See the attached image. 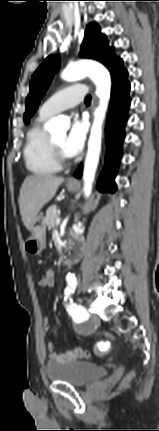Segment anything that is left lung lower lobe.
<instances>
[{
  "mask_svg": "<svg viewBox=\"0 0 159 431\" xmlns=\"http://www.w3.org/2000/svg\"><path fill=\"white\" fill-rule=\"evenodd\" d=\"M128 72L124 67L118 69L112 77L111 101L108 122L106 126L107 134V156L105 168L98 182V189L101 192H115V175L119 160L122 156V141L124 139V126L127 122V110L130 106L129 90L130 84L127 80ZM81 165L74 173L76 178L82 175Z\"/></svg>",
  "mask_w": 159,
  "mask_h": 431,
  "instance_id": "1",
  "label": "left lung lower lobe"
}]
</instances>
